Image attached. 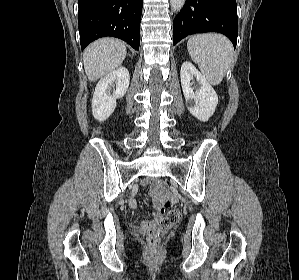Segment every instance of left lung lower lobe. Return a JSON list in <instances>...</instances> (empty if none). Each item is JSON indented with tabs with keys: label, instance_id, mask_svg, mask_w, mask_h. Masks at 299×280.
<instances>
[{
	"label": "left lung lower lobe",
	"instance_id": "obj_1",
	"mask_svg": "<svg viewBox=\"0 0 299 280\" xmlns=\"http://www.w3.org/2000/svg\"><path fill=\"white\" fill-rule=\"evenodd\" d=\"M236 0H186L173 22V44L194 33L219 32L237 44Z\"/></svg>",
	"mask_w": 299,
	"mask_h": 280
}]
</instances>
